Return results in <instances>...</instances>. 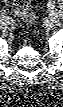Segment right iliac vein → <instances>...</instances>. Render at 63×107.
Instances as JSON below:
<instances>
[{
    "instance_id": "right-iliac-vein-1",
    "label": "right iliac vein",
    "mask_w": 63,
    "mask_h": 107,
    "mask_svg": "<svg viewBox=\"0 0 63 107\" xmlns=\"http://www.w3.org/2000/svg\"><path fill=\"white\" fill-rule=\"evenodd\" d=\"M8 24L13 25L14 24V20L11 18L9 21H7Z\"/></svg>"
}]
</instances>
